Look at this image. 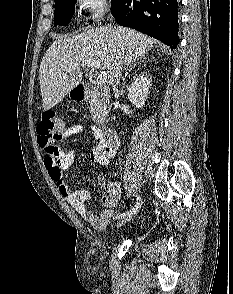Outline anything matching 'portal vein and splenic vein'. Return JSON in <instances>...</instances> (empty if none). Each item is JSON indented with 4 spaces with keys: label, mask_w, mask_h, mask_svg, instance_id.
Masks as SVG:
<instances>
[{
    "label": "portal vein and splenic vein",
    "mask_w": 233,
    "mask_h": 294,
    "mask_svg": "<svg viewBox=\"0 0 233 294\" xmlns=\"http://www.w3.org/2000/svg\"><path fill=\"white\" fill-rule=\"evenodd\" d=\"M82 64L87 67L101 69V63L95 59L88 58L83 60ZM97 84L102 85L107 81V73L105 71H101L98 73L97 77Z\"/></svg>",
    "instance_id": "18ae733b"
}]
</instances>
